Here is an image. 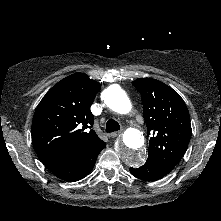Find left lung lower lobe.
Returning a JSON list of instances; mask_svg holds the SVG:
<instances>
[{"mask_svg": "<svg viewBox=\"0 0 221 221\" xmlns=\"http://www.w3.org/2000/svg\"><path fill=\"white\" fill-rule=\"evenodd\" d=\"M130 172L136 178L146 181L158 180L167 174L150 160H147L146 163L140 168H130Z\"/></svg>", "mask_w": 221, "mask_h": 221, "instance_id": "1", "label": "left lung lower lobe"}]
</instances>
